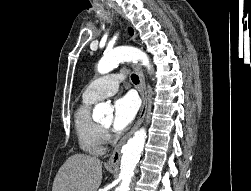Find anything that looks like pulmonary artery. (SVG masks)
Here are the masks:
<instances>
[{"instance_id": "pulmonary-artery-1", "label": "pulmonary artery", "mask_w": 251, "mask_h": 191, "mask_svg": "<svg viewBox=\"0 0 251 191\" xmlns=\"http://www.w3.org/2000/svg\"><path fill=\"white\" fill-rule=\"evenodd\" d=\"M126 78L123 73H112L103 75L86 87L83 97L89 100L107 98L114 95L119 88V84Z\"/></svg>"}]
</instances>
